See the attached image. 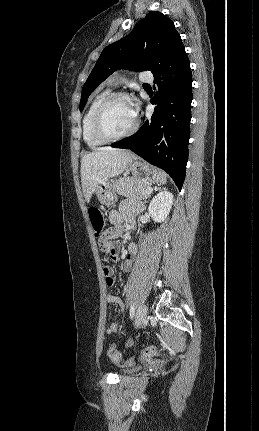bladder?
<instances>
[{
    "instance_id": "bladder-1",
    "label": "bladder",
    "mask_w": 259,
    "mask_h": 431,
    "mask_svg": "<svg viewBox=\"0 0 259 431\" xmlns=\"http://www.w3.org/2000/svg\"><path fill=\"white\" fill-rule=\"evenodd\" d=\"M136 371V368H128L121 372V374H131Z\"/></svg>"
}]
</instances>
